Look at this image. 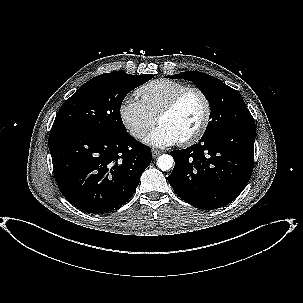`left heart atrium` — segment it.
<instances>
[{
    "label": "left heart atrium",
    "instance_id": "left-heart-atrium-1",
    "mask_svg": "<svg viewBox=\"0 0 303 303\" xmlns=\"http://www.w3.org/2000/svg\"><path fill=\"white\" fill-rule=\"evenodd\" d=\"M145 141L153 146L164 147L179 142L177 136L163 125L157 126L145 138Z\"/></svg>",
    "mask_w": 303,
    "mask_h": 303
}]
</instances>
